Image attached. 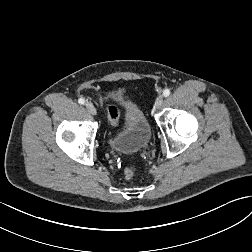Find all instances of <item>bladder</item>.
Listing matches in <instances>:
<instances>
[{"mask_svg":"<svg viewBox=\"0 0 252 252\" xmlns=\"http://www.w3.org/2000/svg\"><path fill=\"white\" fill-rule=\"evenodd\" d=\"M123 130L107 136V144L112 150L132 154L145 148L151 139V125L144 112L134 103H126L122 112Z\"/></svg>","mask_w":252,"mask_h":252,"instance_id":"bladder-1","label":"bladder"}]
</instances>
